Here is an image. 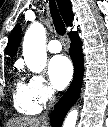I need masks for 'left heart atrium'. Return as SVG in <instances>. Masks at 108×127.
<instances>
[{
	"instance_id": "1",
	"label": "left heart atrium",
	"mask_w": 108,
	"mask_h": 127,
	"mask_svg": "<svg viewBox=\"0 0 108 127\" xmlns=\"http://www.w3.org/2000/svg\"><path fill=\"white\" fill-rule=\"evenodd\" d=\"M49 78L58 90L64 89L72 79L73 67L65 56L53 57L49 63Z\"/></svg>"
}]
</instances>
